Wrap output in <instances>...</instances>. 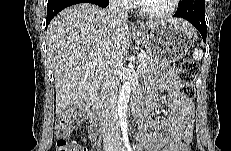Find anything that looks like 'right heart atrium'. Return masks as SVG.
<instances>
[{"instance_id":"right-heart-atrium-1","label":"right heart atrium","mask_w":231,"mask_h":151,"mask_svg":"<svg viewBox=\"0 0 231 151\" xmlns=\"http://www.w3.org/2000/svg\"><path fill=\"white\" fill-rule=\"evenodd\" d=\"M114 4L121 10H127L129 2L127 0H115Z\"/></svg>"}]
</instances>
